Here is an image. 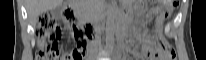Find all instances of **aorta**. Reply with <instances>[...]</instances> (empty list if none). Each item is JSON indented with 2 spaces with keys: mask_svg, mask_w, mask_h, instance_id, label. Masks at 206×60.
Listing matches in <instances>:
<instances>
[{
  "mask_svg": "<svg viewBox=\"0 0 206 60\" xmlns=\"http://www.w3.org/2000/svg\"><path fill=\"white\" fill-rule=\"evenodd\" d=\"M106 15V40L108 47H111L115 28L113 8H109Z\"/></svg>",
  "mask_w": 206,
  "mask_h": 60,
  "instance_id": "762f6f07",
  "label": "aorta"
}]
</instances>
